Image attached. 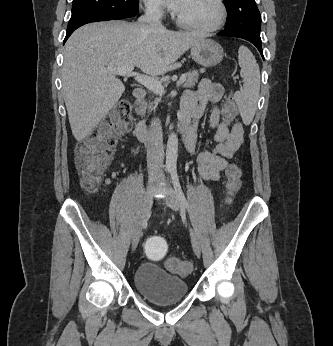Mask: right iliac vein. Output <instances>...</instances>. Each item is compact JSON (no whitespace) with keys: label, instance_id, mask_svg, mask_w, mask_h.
Here are the masks:
<instances>
[{"label":"right iliac vein","instance_id":"63e3f726","mask_svg":"<svg viewBox=\"0 0 333 346\" xmlns=\"http://www.w3.org/2000/svg\"><path fill=\"white\" fill-rule=\"evenodd\" d=\"M157 177H154L153 180H156ZM153 194H154V185L150 184L147 187L146 193L144 195L138 219L135 225V229L133 232L132 236V242H131V247L132 250L134 251L137 248V245L139 243L141 234H142V227L144 225V222L146 221V218L151 210L152 204H153Z\"/></svg>","mask_w":333,"mask_h":346}]
</instances>
